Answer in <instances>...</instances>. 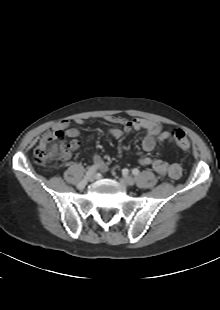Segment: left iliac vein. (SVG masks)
<instances>
[{
	"label": "left iliac vein",
	"mask_w": 220,
	"mask_h": 310,
	"mask_svg": "<svg viewBox=\"0 0 220 310\" xmlns=\"http://www.w3.org/2000/svg\"><path fill=\"white\" fill-rule=\"evenodd\" d=\"M124 180H125L126 184H128L130 186L134 185V183H135V179L131 176H126Z\"/></svg>",
	"instance_id": "left-iliac-vein-1"
}]
</instances>
